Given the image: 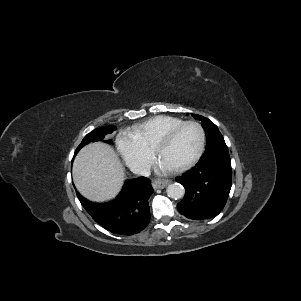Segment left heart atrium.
<instances>
[{"label":"left heart atrium","mask_w":301,"mask_h":301,"mask_svg":"<svg viewBox=\"0 0 301 301\" xmlns=\"http://www.w3.org/2000/svg\"><path fill=\"white\" fill-rule=\"evenodd\" d=\"M173 167L164 163L163 161H160V169L163 171L171 170Z\"/></svg>","instance_id":"obj_1"}]
</instances>
